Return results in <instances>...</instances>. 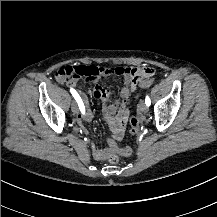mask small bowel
<instances>
[{"label": "small bowel", "instance_id": "obj_1", "mask_svg": "<svg viewBox=\"0 0 217 217\" xmlns=\"http://www.w3.org/2000/svg\"><path fill=\"white\" fill-rule=\"evenodd\" d=\"M60 83L67 82L71 86L77 84V80H65L58 79ZM147 79L145 77H138L127 75L120 91V102L116 104H107V98L109 92L107 89L96 86L92 95L95 99L99 100L103 104V111L105 113L107 122L109 123V131L113 133L114 142L122 139L126 124L129 120L130 109L128 107V99L130 97L131 91L136 90L137 87L147 86ZM93 119V113L88 111L85 115H78L76 117V122L81 125L84 121H91ZM91 153L94 159L104 160L106 155L110 152L106 148L99 147L96 143L92 142L90 144Z\"/></svg>", "mask_w": 217, "mask_h": 217}]
</instances>
